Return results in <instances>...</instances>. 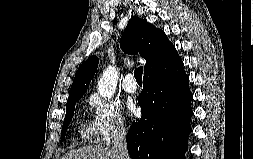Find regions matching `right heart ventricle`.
<instances>
[{
	"instance_id": "e07e8e85",
	"label": "right heart ventricle",
	"mask_w": 253,
	"mask_h": 159,
	"mask_svg": "<svg viewBox=\"0 0 253 159\" xmlns=\"http://www.w3.org/2000/svg\"><path fill=\"white\" fill-rule=\"evenodd\" d=\"M79 135L84 141L91 142L95 137V129L92 123L83 122L79 128Z\"/></svg>"
}]
</instances>
